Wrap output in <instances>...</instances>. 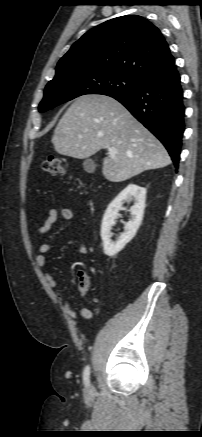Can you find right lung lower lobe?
<instances>
[{
	"label": "right lung lower lobe",
	"instance_id": "98d812e1",
	"mask_svg": "<svg viewBox=\"0 0 202 437\" xmlns=\"http://www.w3.org/2000/svg\"><path fill=\"white\" fill-rule=\"evenodd\" d=\"M111 97L123 104L163 143L177 167L185 126V106L175 61L146 76L136 89Z\"/></svg>",
	"mask_w": 202,
	"mask_h": 437
}]
</instances>
